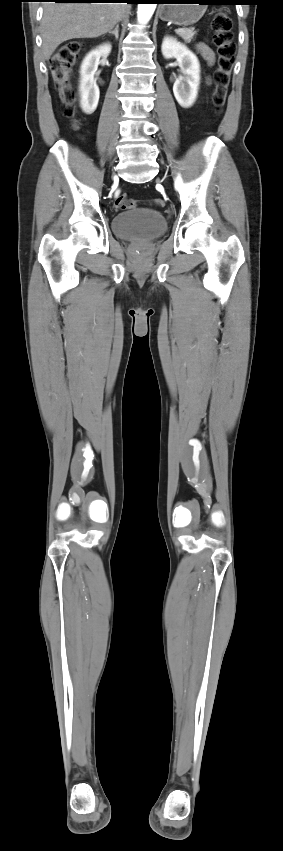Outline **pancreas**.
I'll return each mask as SVG.
<instances>
[{"label": "pancreas", "mask_w": 283, "mask_h": 851, "mask_svg": "<svg viewBox=\"0 0 283 851\" xmlns=\"http://www.w3.org/2000/svg\"><path fill=\"white\" fill-rule=\"evenodd\" d=\"M186 43H190L194 36L196 35V31L193 28L184 29L182 31L176 32Z\"/></svg>", "instance_id": "cf45deb5"}]
</instances>
